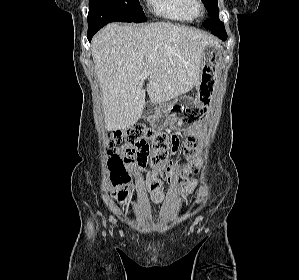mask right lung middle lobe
Returning <instances> with one entry per match:
<instances>
[{
    "label": "right lung middle lobe",
    "instance_id": "obj_1",
    "mask_svg": "<svg viewBox=\"0 0 299 280\" xmlns=\"http://www.w3.org/2000/svg\"><path fill=\"white\" fill-rule=\"evenodd\" d=\"M99 2L123 14L129 22L140 23L147 19L139 4V0H89V4Z\"/></svg>",
    "mask_w": 299,
    "mask_h": 280
}]
</instances>
